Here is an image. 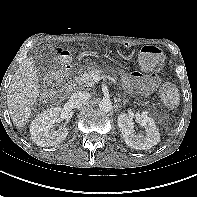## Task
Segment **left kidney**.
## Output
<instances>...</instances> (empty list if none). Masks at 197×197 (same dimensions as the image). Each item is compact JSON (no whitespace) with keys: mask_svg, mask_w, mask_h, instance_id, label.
Here are the masks:
<instances>
[{"mask_svg":"<svg viewBox=\"0 0 197 197\" xmlns=\"http://www.w3.org/2000/svg\"><path fill=\"white\" fill-rule=\"evenodd\" d=\"M145 128V135H137L134 130V122ZM118 126L125 140V143L138 150H147L157 145L160 141V133L155 125L154 120L147 115V112L126 114L118 116Z\"/></svg>","mask_w":197,"mask_h":197,"instance_id":"left-kidney-1","label":"left kidney"}]
</instances>
